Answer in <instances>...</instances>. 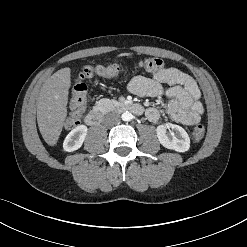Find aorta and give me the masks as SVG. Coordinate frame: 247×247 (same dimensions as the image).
<instances>
[{"mask_svg": "<svg viewBox=\"0 0 247 247\" xmlns=\"http://www.w3.org/2000/svg\"><path fill=\"white\" fill-rule=\"evenodd\" d=\"M132 114L128 111L124 112L122 115H121V118L123 121L125 122H128V121H131L132 120Z\"/></svg>", "mask_w": 247, "mask_h": 247, "instance_id": "762f6f07", "label": "aorta"}]
</instances>
